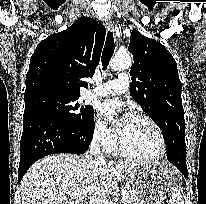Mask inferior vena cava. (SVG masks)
<instances>
[{"instance_id": "602c4592", "label": "inferior vena cava", "mask_w": 206, "mask_h": 204, "mask_svg": "<svg viewBox=\"0 0 206 204\" xmlns=\"http://www.w3.org/2000/svg\"><path fill=\"white\" fill-rule=\"evenodd\" d=\"M90 153L95 156V159L104 161L103 155H100V139L95 136L90 145ZM89 204H100L98 197H91Z\"/></svg>"}]
</instances>
